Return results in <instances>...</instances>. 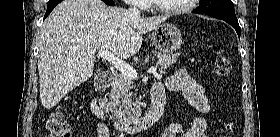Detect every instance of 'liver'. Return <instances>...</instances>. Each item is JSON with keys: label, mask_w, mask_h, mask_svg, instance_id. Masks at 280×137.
<instances>
[{"label": "liver", "mask_w": 280, "mask_h": 137, "mask_svg": "<svg viewBox=\"0 0 280 137\" xmlns=\"http://www.w3.org/2000/svg\"><path fill=\"white\" fill-rule=\"evenodd\" d=\"M167 18H141L101 0L58 4L41 28L38 71L43 107L51 109L93 75L96 51L108 50L121 59L131 57L141 48L142 34Z\"/></svg>", "instance_id": "liver-1"}]
</instances>
